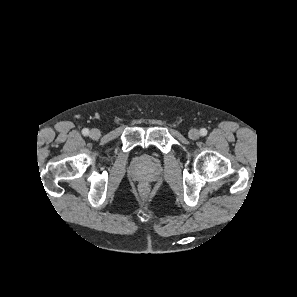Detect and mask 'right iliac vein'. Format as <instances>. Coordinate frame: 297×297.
Wrapping results in <instances>:
<instances>
[{
    "instance_id": "obj_1",
    "label": "right iliac vein",
    "mask_w": 297,
    "mask_h": 297,
    "mask_svg": "<svg viewBox=\"0 0 297 297\" xmlns=\"http://www.w3.org/2000/svg\"><path fill=\"white\" fill-rule=\"evenodd\" d=\"M100 131L98 129H91V131L89 132V136L90 138L96 140L100 137Z\"/></svg>"
}]
</instances>
